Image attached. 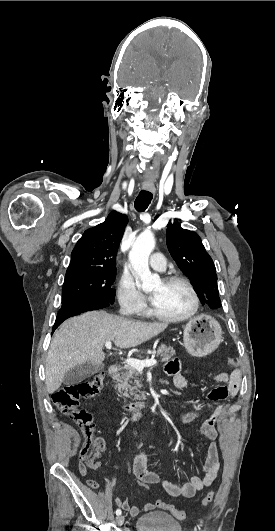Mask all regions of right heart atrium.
I'll return each mask as SVG.
<instances>
[{
	"mask_svg": "<svg viewBox=\"0 0 275 531\" xmlns=\"http://www.w3.org/2000/svg\"><path fill=\"white\" fill-rule=\"evenodd\" d=\"M119 301L124 312L130 316H143L147 311L146 297L137 289L130 274H123L118 287Z\"/></svg>",
	"mask_w": 275,
	"mask_h": 531,
	"instance_id": "d8ad5b80",
	"label": "right heart atrium"
}]
</instances>
